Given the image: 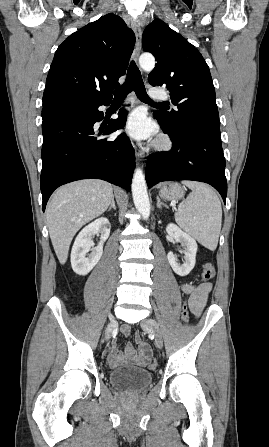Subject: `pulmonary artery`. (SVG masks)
Returning a JSON list of instances; mask_svg holds the SVG:
<instances>
[{
	"label": "pulmonary artery",
	"mask_w": 269,
	"mask_h": 447,
	"mask_svg": "<svg viewBox=\"0 0 269 447\" xmlns=\"http://www.w3.org/2000/svg\"><path fill=\"white\" fill-rule=\"evenodd\" d=\"M151 97L155 99H165L167 96V93L165 90H155L154 93H149Z\"/></svg>",
	"instance_id": "1"
}]
</instances>
